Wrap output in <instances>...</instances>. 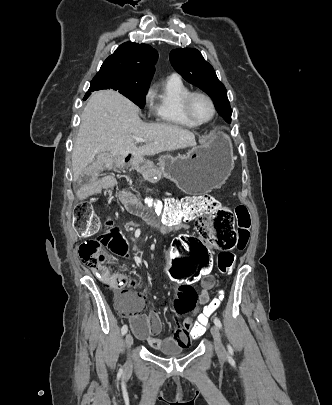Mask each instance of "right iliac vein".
I'll list each match as a JSON object with an SVG mask.
<instances>
[{"label": "right iliac vein", "mask_w": 332, "mask_h": 405, "mask_svg": "<svg viewBox=\"0 0 332 405\" xmlns=\"http://www.w3.org/2000/svg\"><path fill=\"white\" fill-rule=\"evenodd\" d=\"M132 344H133V337L130 333H128L125 337V345L128 351L130 350Z\"/></svg>", "instance_id": "right-iliac-vein-1"}]
</instances>
